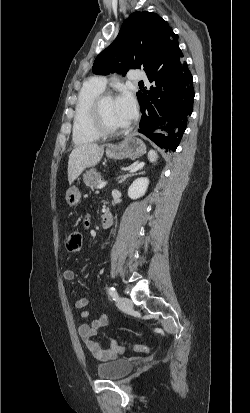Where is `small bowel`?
<instances>
[{"label":"small bowel","mask_w":250,"mask_h":413,"mask_svg":"<svg viewBox=\"0 0 250 413\" xmlns=\"http://www.w3.org/2000/svg\"><path fill=\"white\" fill-rule=\"evenodd\" d=\"M86 226L89 225L88 220L85 222ZM65 280L72 281L76 278V273L72 269H67L63 272ZM88 305L87 298L80 297L74 301V307L81 310L80 316L83 319L89 317L90 312L86 309ZM108 324V318L105 314H101L98 318L94 319L91 323H83L78 327V334L85 344L89 352L100 361H108L115 359L119 353V347L114 339H111L110 344L102 348L95 340L94 337L102 327Z\"/></svg>","instance_id":"1"}]
</instances>
